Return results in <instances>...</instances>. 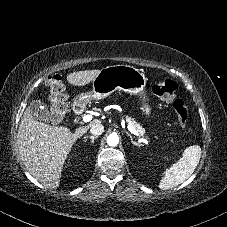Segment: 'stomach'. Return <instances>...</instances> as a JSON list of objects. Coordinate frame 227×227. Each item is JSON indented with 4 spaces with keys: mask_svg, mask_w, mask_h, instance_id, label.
Segmentation results:
<instances>
[{
    "mask_svg": "<svg viewBox=\"0 0 227 227\" xmlns=\"http://www.w3.org/2000/svg\"><path fill=\"white\" fill-rule=\"evenodd\" d=\"M147 78L144 73L130 65H112L100 70L92 83V91L85 92L75 97V103L86 104L91 100L103 99L116 90L140 96L141 110L149 116L151 107L145 95Z\"/></svg>",
    "mask_w": 227,
    "mask_h": 227,
    "instance_id": "obj_1",
    "label": "stomach"
}]
</instances>
